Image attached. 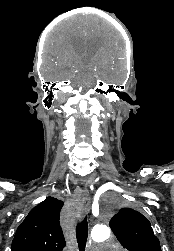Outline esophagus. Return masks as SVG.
<instances>
[{
	"label": "esophagus",
	"instance_id": "obj_1",
	"mask_svg": "<svg viewBox=\"0 0 174 251\" xmlns=\"http://www.w3.org/2000/svg\"><path fill=\"white\" fill-rule=\"evenodd\" d=\"M90 203H91L90 195H89L88 190L85 188V189H83V191L81 193V204H82V212L83 213H86L89 211Z\"/></svg>",
	"mask_w": 174,
	"mask_h": 251
}]
</instances>
